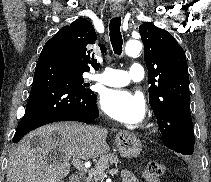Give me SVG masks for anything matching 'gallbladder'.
Instances as JSON below:
<instances>
[{"mask_svg":"<svg viewBox=\"0 0 211 182\" xmlns=\"http://www.w3.org/2000/svg\"><path fill=\"white\" fill-rule=\"evenodd\" d=\"M58 156H59V152L57 150H55L50 154L49 158L52 160V159H55Z\"/></svg>","mask_w":211,"mask_h":182,"instance_id":"1","label":"gallbladder"}]
</instances>
